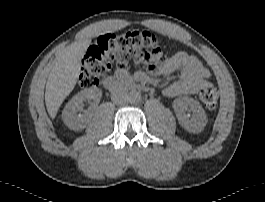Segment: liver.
Instances as JSON below:
<instances>
[{
	"label": "liver",
	"instance_id": "1",
	"mask_svg": "<svg viewBox=\"0 0 265 202\" xmlns=\"http://www.w3.org/2000/svg\"><path fill=\"white\" fill-rule=\"evenodd\" d=\"M89 45L90 40L72 43L56 57L45 90V104L52 119L56 117L61 104L74 89L81 72V59Z\"/></svg>",
	"mask_w": 265,
	"mask_h": 202
}]
</instances>
